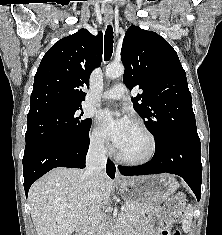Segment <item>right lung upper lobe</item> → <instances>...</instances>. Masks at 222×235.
I'll return each instance as SVG.
<instances>
[{"instance_id":"obj_1","label":"right lung upper lobe","mask_w":222,"mask_h":235,"mask_svg":"<svg viewBox=\"0 0 222 235\" xmlns=\"http://www.w3.org/2000/svg\"><path fill=\"white\" fill-rule=\"evenodd\" d=\"M103 35L80 31L56 42L44 55L34 77L28 116L57 106L81 105L89 76L102 60Z\"/></svg>"}]
</instances>
